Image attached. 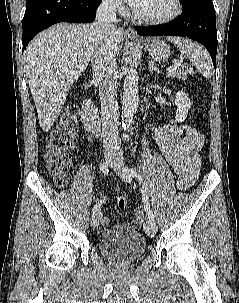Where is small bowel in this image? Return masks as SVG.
<instances>
[{"label": "small bowel", "instance_id": "1", "mask_svg": "<svg viewBox=\"0 0 239 303\" xmlns=\"http://www.w3.org/2000/svg\"><path fill=\"white\" fill-rule=\"evenodd\" d=\"M154 140L167 162L177 175V187L189 188L197 179L201 165V153L205 146V138L189 125H164L158 127L153 133ZM138 221L142 217L140 211L136 212ZM108 217H101L100 234L111 237L117 234H127L136 230V221L122 223L109 228Z\"/></svg>", "mask_w": 239, "mask_h": 303}]
</instances>
